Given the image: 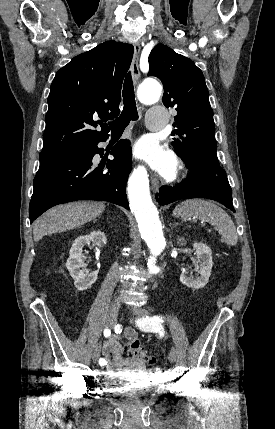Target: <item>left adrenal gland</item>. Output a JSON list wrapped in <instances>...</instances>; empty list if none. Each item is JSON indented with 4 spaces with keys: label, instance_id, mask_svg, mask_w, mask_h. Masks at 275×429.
I'll return each mask as SVG.
<instances>
[{
    "label": "left adrenal gland",
    "instance_id": "1",
    "mask_svg": "<svg viewBox=\"0 0 275 429\" xmlns=\"http://www.w3.org/2000/svg\"><path fill=\"white\" fill-rule=\"evenodd\" d=\"M174 225H175V226H177V225H178V223H175Z\"/></svg>",
    "mask_w": 275,
    "mask_h": 429
}]
</instances>
